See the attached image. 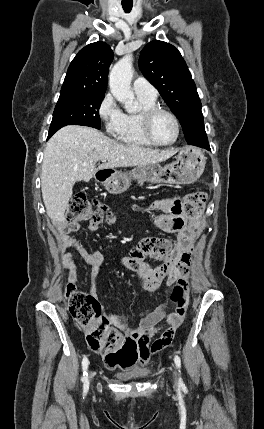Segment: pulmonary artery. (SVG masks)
<instances>
[{
	"mask_svg": "<svg viewBox=\"0 0 264 429\" xmlns=\"http://www.w3.org/2000/svg\"><path fill=\"white\" fill-rule=\"evenodd\" d=\"M133 90L136 95L149 98L157 97V89L145 78L137 77L133 82Z\"/></svg>",
	"mask_w": 264,
	"mask_h": 429,
	"instance_id": "obj_1",
	"label": "pulmonary artery"
}]
</instances>
